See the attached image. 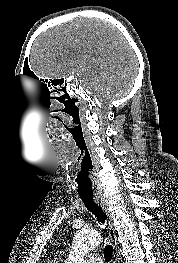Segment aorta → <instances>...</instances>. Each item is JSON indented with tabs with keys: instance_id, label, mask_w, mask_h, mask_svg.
Masks as SVG:
<instances>
[{
	"instance_id": "762f6f07",
	"label": "aorta",
	"mask_w": 178,
	"mask_h": 263,
	"mask_svg": "<svg viewBox=\"0 0 178 263\" xmlns=\"http://www.w3.org/2000/svg\"><path fill=\"white\" fill-rule=\"evenodd\" d=\"M101 242V236L93 230H80L74 237L72 250L65 263H83L85 255Z\"/></svg>"
}]
</instances>
